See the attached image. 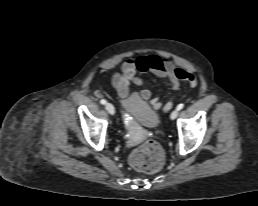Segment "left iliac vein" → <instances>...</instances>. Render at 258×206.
Returning a JSON list of instances; mask_svg holds the SVG:
<instances>
[{"label":"left iliac vein","instance_id":"obj_1","mask_svg":"<svg viewBox=\"0 0 258 206\" xmlns=\"http://www.w3.org/2000/svg\"><path fill=\"white\" fill-rule=\"evenodd\" d=\"M178 113H179V110H177V109L174 110V111L171 113L170 118H171L172 120L176 119L177 116H178Z\"/></svg>","mask_w":258,"mask_h":206}]
</instances>
